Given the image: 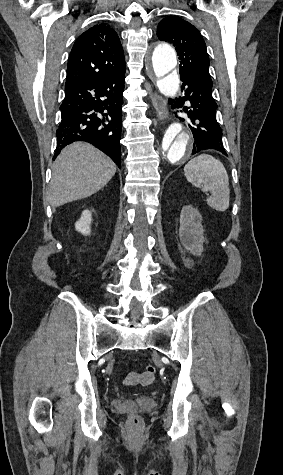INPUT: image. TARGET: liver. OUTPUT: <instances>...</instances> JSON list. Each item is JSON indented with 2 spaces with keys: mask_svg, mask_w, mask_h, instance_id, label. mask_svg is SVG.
<instances>
[{
  "mask_svg": "<svg viewBox=\"0 0 283 475\" xmlns=\"http://www.w3.org/2000/svg\"><path fill=\"white\" fill-rule=\"evenodd\" d=\"M116 164L106 154L85 142H75L57 156L50 182L53 208L83 200L110 182Z\"/></svg>",
  "mask_w": 283,
  "mask_h": 475,
  "instance_id": "6515ba94",
  "label": "liver"
}]
</instances>
